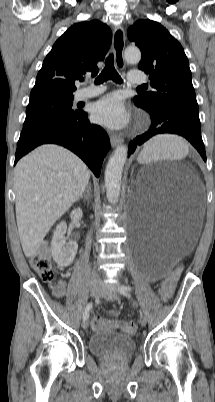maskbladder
<instances>
[{
	"instance_id": "obj_1",
	"label": "bladder",
	"mask_w": 215,
	"mask_h": 402,
	"mask_svg": "<svg viewBox=\"0 0 215 402\" xmlns=\"http://www.w3.org/2000/svg\"><path fill=\"white\" fill-rule=\"evenodd\" d=\"M88 348L97 357L122 360L134 354L136 343L129 335L100 330L90 336Z\"/></svg>"
}]
</instances>
